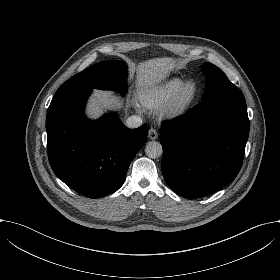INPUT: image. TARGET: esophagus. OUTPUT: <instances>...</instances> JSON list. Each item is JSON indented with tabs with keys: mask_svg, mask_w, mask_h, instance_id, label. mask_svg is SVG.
Wrapping results in <instances>:
<instances>
[{
	"mask_svg": "<svg viewBox=\"0 0 280 280\" xmlns=\"http://www.w3.org/2000/svg\"><path fill=\"white\" fill-rule=\"evenodd\" d=\"M148 138L150 140H156L158 138V132L156 129L154 128H151L149 131H148Z\"/></svg>",
	"mask_w": 280,
	"mask_h": 280,
	"instance_id": "1",
	"label": "esophagus"
}]
</instances>
